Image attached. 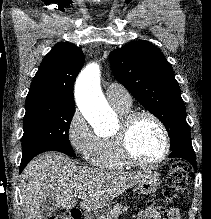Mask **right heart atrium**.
<instances>
[{
    "label": "right heart atrium",
    "instance_id": "d8ad5b80",
    "mask_svg": "<svg viewBox=\"0 0 211 219\" xmlns=\"http://www.w3.org/2000/svg\"><path fill=\"white\" fill-rule=\"evenodd\" d=\"M67 140L71 148L81 157L89 158L98 137L79 110H75L68 122Z\"/></svg>",
    "mask_w": 211,
    "mask_h": 219
}]
</instances>
